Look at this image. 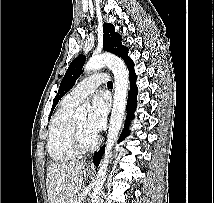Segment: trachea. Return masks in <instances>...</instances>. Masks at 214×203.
I'll list each match as a JSON object with an SVG mask.
<instances>
[{"label": "trachea", "instance_id": "3493384b", "mask_svg": "<svg viewBox=\"0 0 214 203\" xmlns=\"http://www.w3.org/2000/svg\"><path fill=\"white\" fill-rule=\"evenodd\" d=\"M107 86L108 87H113V83L111 81H108Z\"/></svg>", "mask_w": 214, "mask_h": 203}]
</instances>
